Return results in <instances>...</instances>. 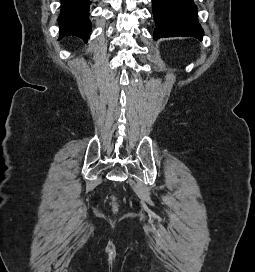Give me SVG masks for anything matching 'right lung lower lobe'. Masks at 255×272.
<instances>
[{
	"instance_id": "obj_1",
	"label": "right lung lower lobe",
	"mask_w": 255,
	"mask_h": 272,
	"mask_svg": "<svg viewBox=\"0 0 255 272\" xmlns=\"http://www.w3.org/2000/svg\"><path fill=\"white\" fill-rule=\"evenodd\" d=\"M61 3L58 18L60 37L72 35L87 41L91 32L89 0H61Z\"/></svg>"
}]
</instances>
